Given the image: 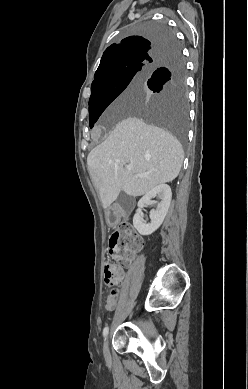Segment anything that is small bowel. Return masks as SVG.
<instances>
[{"label":"small bowel","instance_id":"small-bowel-1","mask_svg":"<svg viewBox=\"0 0 248 389\" xmlns=\"http://www.w3.org/2000/svg\"><path fill=\"white\" fill-rule=\"evenodd\" d=\"M117 301H118V296L116 294L114 295L109 294L106 300V309L108 311L113 310L117 305Z\"/></svg>","mask_w":248,"mask_h":389}]
</instances>
